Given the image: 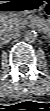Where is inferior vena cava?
<instances>
[{
	"mask_svg": "<svg viewBox=\"0 0 50 111\" xmlns=\"http://www.w3.org/2000/svg\"><path fill=\"white\" fill-rule=\"evenodd\" d=\"M20 36V32L19 31H6L4 33L1 34V39L5 40V41H10L12 39L18 38Z\"/></svg>",
	"mask_w": 50,
	"mask_h": 111,
	"instance_id": "inferior-vena-cava-1",
	"label": "inferior vena cava"
}]
</instances>
